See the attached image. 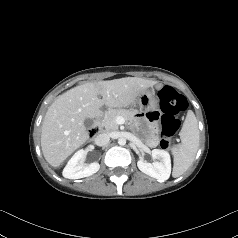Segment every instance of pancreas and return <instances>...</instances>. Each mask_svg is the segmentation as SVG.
<instances>
[{"instance_id": "cf45deb5", "label": "pancreas", "mask_w": 238, "mask_h": 238, "mask_svg": "<svg viewBox=\"0 0 238 238\" xmlns=\"http://www.w3.org/2000/svg\"><path fill=\"white\" fill-rule=\"evenodd\" d=\"M119 116L127 121H132L134 118V112L126 109L109 110L102 120V125L105 127L106 131H115L118 129L116 118Z\"/></svg>"}]
</instances>
